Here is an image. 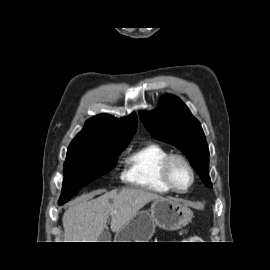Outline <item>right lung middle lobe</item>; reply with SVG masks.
<instances>
[{
	"instance_id": "1",
	"label": "right lung middle lobe",
	"mask_w": 270,
	"mask_h": 270,
	"mask_svg": "<svg viewBox=\"0 0 270 270\" xmlns=\"http://www.w3.org/2000/svg\"><path fill=\"white\" fill-rule=\"evenodd\" d=\"M129 142L109 145H70L64 163L62 205L69 201L83 186L106 174L116 165V158Z\"/></svg>"
}]
</instances>
